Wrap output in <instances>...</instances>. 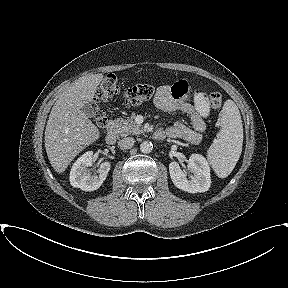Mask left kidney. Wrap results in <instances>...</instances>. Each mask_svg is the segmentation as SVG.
Segmentation results:
<instances>
[{
	"mask_svg": "<svg viewBox=\"0 0 288 288\" xmlns=\"http://www.w3.org/2000/svg\"><path fill=\"white\" fill-rule=\"evenodd\" d=\"M188 169L191 171L190 175L177 162H171L169 172L173 184L188 193L208 191L211 184L210 167L205 157L192 154L188 160Z\"/></svg>",
	"mask_w": 288,
	"mask_h": 288,
	"instance_id": "5707ae66",
	"label": "left kidney"
}]
</instances>
